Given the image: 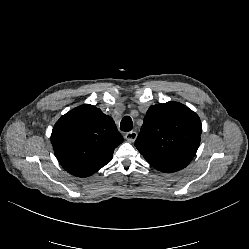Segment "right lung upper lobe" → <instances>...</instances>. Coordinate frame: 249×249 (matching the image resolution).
I'll return each instance as SVG.
<instances>
[{
	"instance_id": "1",
	"label": "right lung upper lobe",
	"mask_w": 249,
	"mask_h": 249,
	"mask_svg": "<svg viewBox=\"0 0 249 249\" xmlns=\"http://www.w3.org/2000/svg\"><path fill=\"white\" fill-rule=\"evenodd\" d=\"M51 142L62 167L70 174L87 177L108 164L123 142L113 119L90 104L74 108L55 124Z\"/></svg>"
}]
</instances>
